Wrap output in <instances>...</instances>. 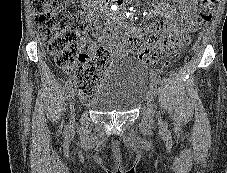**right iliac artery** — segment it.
<instances>
[{"label":"right iliac artery","mask_w":227,"mask_h":173,"mask_svg":"<svg viewBox=\"0 0 227 173\" xmlns=\"http://www.w3.org/2000/svg\"><path fill=\"white\" fill-rule=\"evenodd\" d=\"M71 89H72V80L71 78H69L67 81H66V84H65V91H66V94L69 96L70 92H71Z\"/></svg>","instance_id":"82829eb1"}]
</instances>
